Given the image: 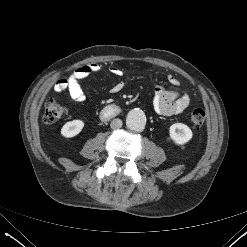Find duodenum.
Masks as SVG:
<instances>
[{"label":"duodenum","mask_w":247,"mask_h":247,"mask_svg":"<svg viewBox=\"0 0 247 247\" xmlns=\"http://www.w3.org/2000/svg\"><path fill=\"white\" fill-rule=\"evenodd\" d=\"M120 113V108L116 105H108L101 111L103 119L112 118Z\"/></svg>","instance_id":"duodenum-1"}]
</instances>
